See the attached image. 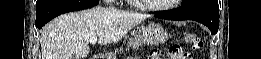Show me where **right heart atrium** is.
I'll use <instances>...</instances> for the list:
<instances>
[{"mask_svg":"<svg viewBox=\"0 0 261 59\" xmlns=\"http://www.w3.org/2000/svg\"><path fill=\"white\" fill-rule=\"evenodd\" d=\"M115 2H116V0H106V3H108V4L115 3Z\"/></svg>","mask_w":261,"mask_h":59,"instance_id":"d8ad5b80","label":"right heart atrium"}]
</instances>
